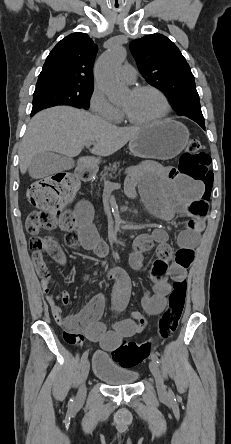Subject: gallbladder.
Segmentation results:
<instances>
[{
	"instance_id": "obj_1",
	"label": "gallbladder",
	"mask_w": 231,
	"mask_h": 444,
	"mask_svg": "<svg viewBox=\"0 0 231 444\" xmlns=\"http://www.w3.org/2000/svg\"><path fill=\"white\" fill-rule=\"evenodd\" d=\"M70 167V160L58 153L42 152L35 155L29 166V174L34 179L44 178Z\"/></svg>"
}]
</instances>
